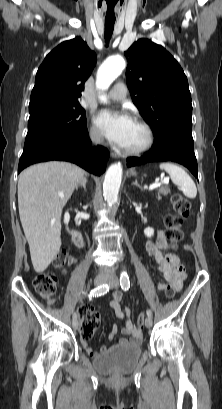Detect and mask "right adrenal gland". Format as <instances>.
Here are the masks:
<instances>
[{
    "label": "right adrenal gland",
    "instance_id": "2a0ac1e0",
    "mask_svg": "<svg viewBox=\"0 0 222 409\" xmlns=\"http://www.w3.org/2000/svg\"><path fill=\"white\" fill-rule=\"evenodd\" d=\"M86 183H87V179L85 177L82 178V180L76 186V190H78L81 187L86 191Z\"/></svg>",
    "mask_w": 222,
    "mask_h": 409
}]
</instances>
